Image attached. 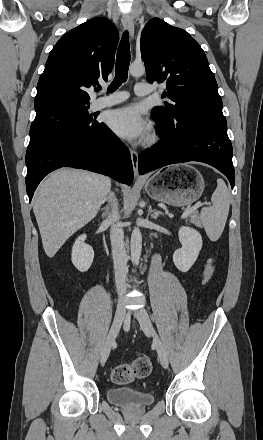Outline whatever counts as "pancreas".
<instances>
[{
    "label": "pancreas",
    "instance_id": "cf45deb5",
    "mask_svg": "<svg viewBox=\"0 0 263 440\" xmlns=\"http://www.w3.org/2000/svg\"><path fill=\"white\" fill-rule=\"evenodd\" d=\"M189 221L190 223H193L194 225H196L197 227H202V222H201V218L199 216L198 211H193L189 216Z\"/></svg>",
    "mask_w": 263,
    "mask_h": 440
}]
</instances>
